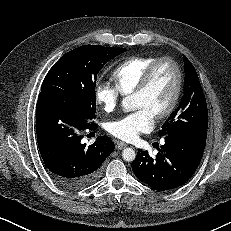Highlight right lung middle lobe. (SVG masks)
<instances>
[{
  "label": "right lung middle lobe",
  "mask_w": 231,
  "mask_h": 231,
  "mask_svg": "<svg viewBox=\"0 0 231 231\" xmlns=\"http://www.w3.org/2000/svg\"><path fill=\"white\" fill-rule=\"evenodd\" d=\"M126 50L84 45L67 52L47 73L40 94L70 103L85 120L92 122L96 112L97 74L110 59Z\"/></svg>",
  "instance_id": "right-lung-middle-lobe-1"
}]
</instances>
